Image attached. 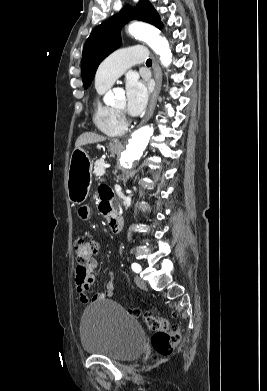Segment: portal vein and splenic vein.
Returning <instances> with one entry per match:
<instances>
[{
    "instance_id": "obj_1",
    "label": "portal vein and splenic vein",
    "mask_w": 267,
    "mask_h": 391,
    "mask_svg": "<svg viewBox=\"0 0 267 391\" xmlns=\"http://www.w3.org/2000/svg\"><path fill=\"white\" fill-rule=\"evenodd\" d=\"M109 167H110L109 164H105V165H104V168H109Z\"/></svg>"
}]
</instances>
